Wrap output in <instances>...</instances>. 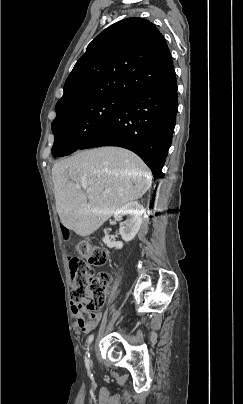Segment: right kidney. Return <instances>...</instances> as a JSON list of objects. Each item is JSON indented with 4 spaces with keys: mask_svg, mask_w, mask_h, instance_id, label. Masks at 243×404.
Returning a JSON list of instances; mask_svg holds the SVG:
<instances>
[{
    "mask_svg": "<svg viewBox=\"0 0 243 404\" xmlns=\"http://www.w3.org/2000/svg\"><path fill=\"white\" fill-rule=\"evenodd\" d=\"M144 212L145 210L143 206L138 204V202H129V204H125L120 210L114 212V218H116L117 222L123 220V216H127L128 218V222H123V224H120L119 228V232L124 242H130V240H133L136 234H138L142 224L141 216ZM104 232L105 236L103 242L108 248H116V250H121V248H123V242H113V240H109L107 230H104Z\"/></svg>",
    "mask_w": 243,
    "mask_h": 404,
    "instance_id": "right-kidney-1",
    "label": "right kidney"
}]
</instances>
